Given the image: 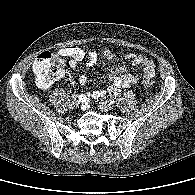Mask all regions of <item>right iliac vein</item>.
I'll return each mask as SVG.
<instances>
[{"mask_svg":"<svg viewBox=\"0 0 195 195\" xmlns=\"http://www.w3.org/2000/svg\"><path fill=\"white\" fill-rule=\"evenodd\" d=\"M78 105H79V102L75 99L70 102V107L71 108H77Z\"/></svg>","mask_w":195,"mask_h":195,"instance_id":"right-iliac-vein-1","label":"right iliac vein"}]
</instances>
